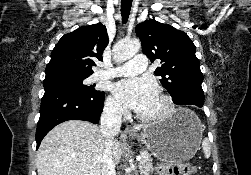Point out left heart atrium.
<instances>
[{"label":"left heart atrium","mask_w":251,"mask_h":175,"mask_svg":"<svg viewBox=\"0 0 251 175\" xmlns=\"http://www.w3.org/2000/svg\"><path fill=\"white\" fill-rule=\"evenodd\" d=\"M117 101L136 112L148 113L159 98L156 82L148 77H128L113 85Z\"/></svg>","instance_id":"1"}]
</instances>
